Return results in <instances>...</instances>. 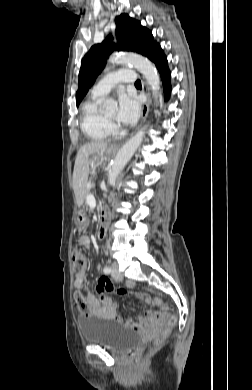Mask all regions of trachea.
I'll return each mask as SVG.
<instances>
[{
  "instance_id": "obj_1",
  "label": "trachea",
  "mask_w": 252,
  "mask_h": 390,
  "mask_svg": "<svg viewBox=\"0 0 252 390\" xmlns=\"http://www.w3.org/2000/svg\"><path fill=\"white\" fill-rule=\"evenodd\" d=\"M135 86H141V81H140V80H137V81L135 82Z\"/></svg>"
}]
</instances>
